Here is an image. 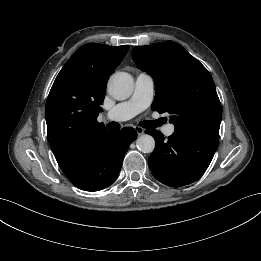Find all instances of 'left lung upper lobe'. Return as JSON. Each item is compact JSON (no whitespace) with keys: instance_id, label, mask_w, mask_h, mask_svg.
<instances>
[{"instance_id":"obj_1","label":"left lung upper lobe","mask_w":261,"mask_h":261,"mask_svg":"<svg viewBox=\"0 0 261 261\" xmlns=\"http://www.w3.org/2000/svg\"><path fill=\"white\" fill-rule=\"evenodd\" d=\"M133 58L154 79L152 109L169 113L176 133L219 139L221 104L210 73L196 58L173 41L137 46Z\"/></svg>"}]
</instances>
